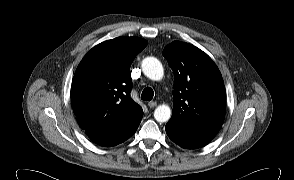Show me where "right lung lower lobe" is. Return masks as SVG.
<instances>
[{"instance_id":"obj_1","label":"right lung lower lobe","mask_w":294,"mask_h":180,"mask_svg":"<svg viewBox=\"0 0 294 180\" xmlns=\"http://www.w3.org/2000/svg\"><path fill=\"white\" fill-rule=\"evenodd\" d=\"M142 116L143 111L141 110L127 124H125L117 131H114L109 134L92 136L89 138L96 144L105 147L120 144L128 138H130L135 133L141 122Z\"/></svg>"}]
</instances>
